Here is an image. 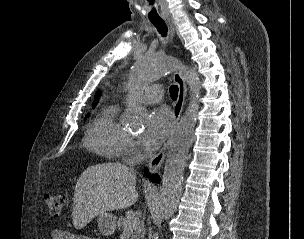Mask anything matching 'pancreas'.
<instances>
[{"label": "pancreas", "instance_id": "obj_1", "mask_svg": "<svg viewBox=\"0 0 304 239\" xmlns=\"http://www.w3.org/2000/svg\"><path fill=\"white\" fill-rule=\"evenodd\" d=\"M134 221H137L138 224L133 228L132 224ZM117 224L118 227L122 229L130 230V227H132V239H141L145 233L144 226L140 224L137 212L132 210L127 211L125 217H120Z\"/></svg>", "mask_w": 304, "mask_h": 239}]
</instances>
